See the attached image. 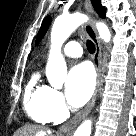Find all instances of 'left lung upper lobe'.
<instances>
[{
	"label": "left lung upper lobe",
	"instance_id": "obj_1",
	"mask_svg": "<svg viewBox=\"0 0 136 136\" xmlns=\"http://www.w3.org/2000/svg\"><path fill=\"white\" fill-rule=\"evenodd\" d=\"M92 4L95 8V10L97 11L98 15L101 17V18H105V8L101 5L100 3V0H92ZM51 22V17L48 16L44 19L42 25H41V28L39 30V33L37 35V38H36V44L43 38V36L45 35L48 27H49V24Z\"/></svg>",
	"mask_w": 136,
	"mask_h": 136
}]
</instances>
